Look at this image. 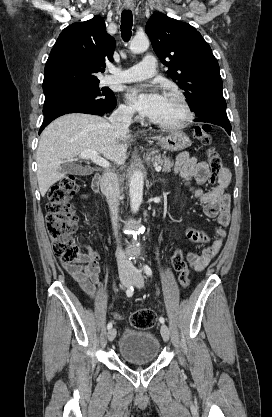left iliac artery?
<instances>
[{
    "instance_id": "left-iliac-artery-1",
    "label": "left iliac artery",
    "mask_w": 272,
    "mask_h": 417,
    "mask_svg": "<svg viewBox=\"0 0 272 417\" xmlns=\"http://www.w3.org/2000/svg\"><path fill=\"white\" fill-rule=\"evenodd\" d=\"M144 272L148 275V276H152V270H151V268L148 266V265H144ZM159 321L161 322V323H164L165 322V319L163 318V317H160L159 318Z\"/></svg>"
}]
</instances>
